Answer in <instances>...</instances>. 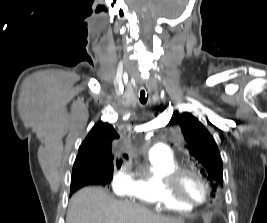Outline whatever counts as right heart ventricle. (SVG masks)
<instances>
[{
    "mask_svg": "<svg viewBox=\"0 0 267 223\" xmlns=\"http://www.w3.org/2000/svg\"><path fill=\"white\" fill-rule=\"evenodd\" d=\"M178 167V162L172 156L168 158L149 156L148 166L131 177V186L126 195L140 204H148L156 209L190 212L192 207L170 199L165 192L166 175Z\"/></svg>",
    "mask_w": 267,
    "mask_h": 223,
    "instance_id": "right-heart-ventricle-1",
    "label": "right heart ventricle"
}]
</instances>
